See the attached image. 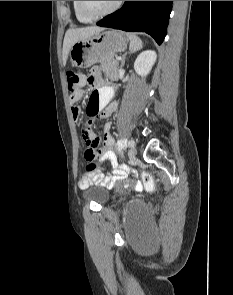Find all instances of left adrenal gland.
I'll return each instance as SVG.
<instances>
[{"instance_id": "a2214340", "label": "left adrenal gland", "mask_w": 233, "mask_h": 295, "mask_svg": "<svg viewBox=\"0 0 233 295\" xmlns=\"http://www.w3.org/2000/svg\"><path fill=\"white\" fill-rule=\"evenodd\" d=\"M132 52H126L125 54H123L122 56V61H121V68L125 65V59L127 57L128 54H131Z\"/></svg>"}]
</instances>
